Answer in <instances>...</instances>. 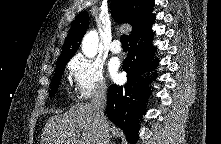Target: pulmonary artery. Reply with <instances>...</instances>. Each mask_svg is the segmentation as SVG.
<instances>
[{
	"mask_svg": "<svg viewBox=\"0 0 221 144\" xmlns=\"http://www.w3.org/2000/svg\"><path fill=\"white\" fill-rule=\"evenodd\" d=\"M109 49L112 53L114 54H119L121 52V46H120V42L118 40H114L110 46Z\"/></svg>",
	"mask_w": 221,
	"mask_h": 144,
	"instance_id": "1",
	"label": "pulmonary artery"
}]
</instances>
